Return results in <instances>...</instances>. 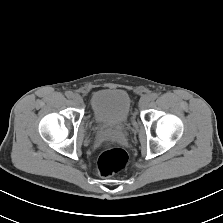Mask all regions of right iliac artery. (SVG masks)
Here are the masks:
<instances>
[{
    "label": "right iliac artery",
    "instance_id": "82829eb1",
    "mask_svg": "<svg viewBox=\"0 0 223 223\" xmlns=\"http://www.w3.org/2000/svg\"><path fill=\"white\" fill-rule=\"evenodd\" d=\"M65 95H66L67 98H72V97H73V92H71V91H67V92L65 93Z\"/></svg>",
    "mask_w": 223,
    "mask_h": 223
}]
</instances>
